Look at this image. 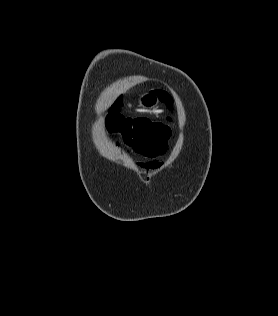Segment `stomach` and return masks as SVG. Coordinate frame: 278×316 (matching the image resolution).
Here are the masks:
<instances>
[{"label": "stomach", "instance_id": "obj_1", "mask_svg": "<svg viewBox=\"0 0 278 316\" xmlns=\"http://www.w3.org/2000/svg\"><path fill=\"white\" fill-rule=\"evenodd\" d=\"M159 104L158 95L156 93H146L139 98V106L141 110H150Z\"/></svg>", "mask_w": 278, "mask_h": 316}]
</instances>
